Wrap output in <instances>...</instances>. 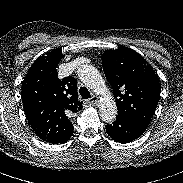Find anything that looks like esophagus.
Wrapping results in <instances>:
<instances>
[{
	"mask_svg": "<svg viewBox=\"0 0 183 183\" xmlns=\"http://www.w3.org/2000/svg\"><path fill=\"white\" fill-rule=\"evenodd\" d=\"M98 103H99L98 97L93 96L91 99L86 100L84 102V105L87 106V107H89V106H97Z\"/></svg>",
	"mask_w": 183,
	"mask_h": 183,
	"instance_id": "obj_1",
	"label": "esophagus"
}]
</instances>
